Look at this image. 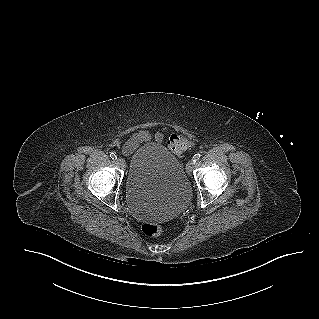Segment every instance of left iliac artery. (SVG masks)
<instances>
[{
  "mask_svg": "<svg viewBox=\"0 0 319 319\" xmlns=\"http://www.w3.org/2000/svg\"><path fill=\"white\" fill-rule=\"evenodd\" d=\"M200 157H201V154L200 153H197V154H195L194 156H193V161H198L199 159H200Z\"/></svg>",
  "mask_w": 319,
  "mask_h": 319,
  "instance_id": "44dca946",
  "label": "left iliac artery"
}]
</instances>
